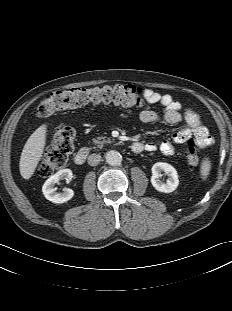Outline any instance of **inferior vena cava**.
I'll return each mask as SVG.
<instances>
[{
    "instance_id": "inferior-vena-cava-1",
    "label": "inferior vena cava",
    "mask_w": 232,
    "mask_h": 311,
    "mask_svg": "<svg viewBox=\"0 0 232 311\" xmlns=\"http://www.w3.org/2000/svg\"><path fill=\"white\" fill-rule=\"evenodd\" d=\"M100 161H101V156L99 154L94 153L88 157V164L90 166H96L97 164H99Z\"/></svg>"
}]
</instances>
